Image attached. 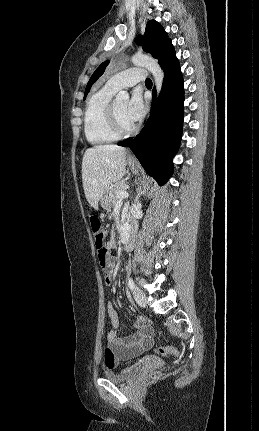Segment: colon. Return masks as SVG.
<instances>
[{
	"mask_svg": "<svg viewBox=\"0 0 259 431\" xmlns=\"http://www.w3.org/2000/svg\"><path fill=\"white\" fill-rule=\"evenodd\" d=\"M91 229L95 240V246L98 251V259L101 265L111 267L113 262V257L111 254V249L109 243L105 239V231L102 226L100 219L96 216H92L90 219ZM156 353L162 356H177L178 351L175 348H162L158 347L155 349ZM159 376V372H153L151 374L152 378Z\"/></svg>",
	"mask_w": 259,
	"mask_h": 431,
	"instance_id": "obj_1",
	"label": "colon"
}]
</instances>
